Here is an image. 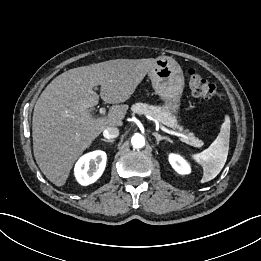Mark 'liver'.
I'll return each mask as SVG.
<instances>
[{
    "instance_id": "1",
    "label": "liver",
    "mask_w": 261,
    "mask_h": 261,
    "mask_svg": "<svg viewBox=\"0 0 261 261\" xmlns=\"http://www.w3.org/2000/svg\"><path fill=\"white\" fill-rule=\"evenodd\" d=\"M156 59H115L70 69L57 76L38 98L33 112L35 160L56 186H63L75 161L104 129L122 126L126 102L155 65ZM109 104L106 117H94L99 102ZM121 103V104H120Z\"/></svg>"
}]
</instances>
